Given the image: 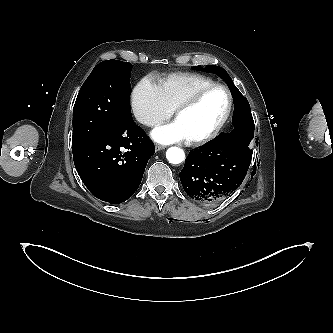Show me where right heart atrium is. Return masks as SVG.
<instances>
[{"instance_id": "1", "label": "right heart atrium", "mask_w": 333, "mask_h": 333, "mask_svg": "<svg viewBox=\"0 0 333 333\" xmlns=\"http://www.w3.org/2000/svg\"><path fill=\"white\" fill-rule=\"evenodd\" d=\"M131 108L135 118L148 127L164 122L173 113L165 102L159 86L148 78L142 79L134 88Z\"/></svg>"}]
</instances>
